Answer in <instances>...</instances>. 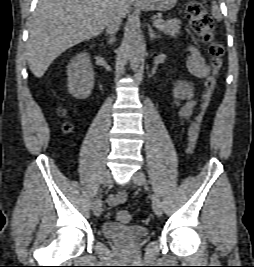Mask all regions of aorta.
Here are the masks:
<instances>
[{
	"label": "aorta",
	"mask_w": 254,
	"mask_h": 267,
	"mask_svg": "<svg viewBox=\"0 0 254 267\" xmlns=\"http://www.w3.org/2000/svg\"><path fill=\"white\" fill-rule=\"evenodd\" d=\"M144 51L142 36L138 29V23L133 21L128 34L127 56L130 62L131 69L138 71Z\"/></svg>",
	"instance_id": "1"
}]
</instances>
